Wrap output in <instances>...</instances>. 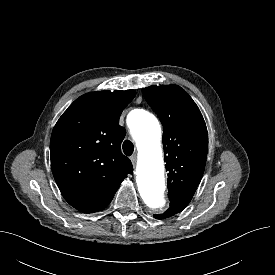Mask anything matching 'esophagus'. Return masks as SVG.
I'll return each mask as SVG.
<instances>
[{
  "mask_svg": "<svg viewBox=\"0 0 275 275\" xmlns=\"http://www.w3.org/2000/svg\"><path fill=\"white\" fill-rule=\"evenodd\" d=\"M130 160H131L132 164L135 165V164H136V161H137V156H136V154L132 155V156L130 157Z\"/></svg>",
  "mask_w": 275,
  "mask_h": 275,
  "instance_id": "34e87169",
  "label": "esophagus"
}]
</instances>
